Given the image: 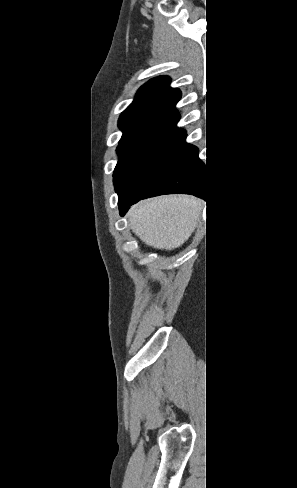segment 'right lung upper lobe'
<instances>
[{"label":"right lung upper lobe","instance_id":"obj_1","mask_svg":"<svg viewBox=\"0 0 297 488\" xmlns=\"http://www.w3.org/2000/svg\"><path fill=\"white\" fill-rule=\"evenodd\" d=\"M166 76L151 79L137 92L134 101L119 118V128L124 134L138 132L178 133L180 118L175 105L181 97L180 90L169 87Z\"/></svg>","mask_w":297,"mask_h":488}]
</instances>
